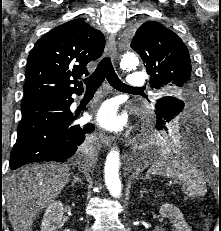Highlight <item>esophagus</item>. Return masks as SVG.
<instances>
[{"label":"esophagus","instance_id":"34e87169","mask_svg":"<svg viewBox=\"0 0 221 231\" xmlns=\"http://www.w3.org/2000/svg\"><path fill=\"white\" fill-rule=\"evenodd\" d=\"M107 53L112 59L116 58L117 47H116V39H115L114 35H110L108 38ZM100 139H101L104 146H110L112 141H113V137L104 133V132L100 133Z\"/></svg>","mask_w":221,"mask_h":231}]
</instances>
